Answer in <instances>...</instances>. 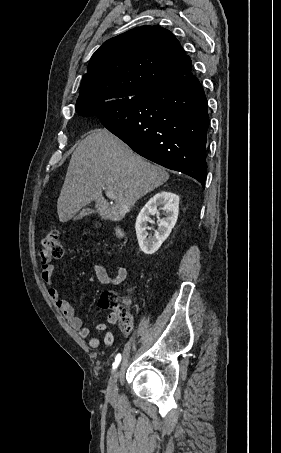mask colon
<instances>
[{"label": "colon", "instance_id": "obj_1", "mask_svg": "<svg viewBox=\"0 0 281 453\" xmlns=\"http://www.w3.org/2000/svg\"><path fill=\"white\" fill-rule=\"evenodd\" d=\"M64 255V247L61 234L57 229H50L47 236L42 240V249L39 254V260L43 263L52 260H59ZM120 324L124 330L131 328V318L129 312L123 310L120 312Z\"/></svg>", "mask_w": 281, "mask_h": 453}]
</instances>
